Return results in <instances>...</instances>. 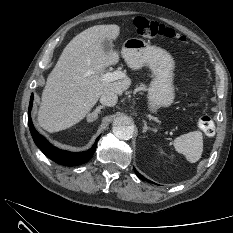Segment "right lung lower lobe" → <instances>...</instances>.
I'll return each mask as SVG.
<instances>
[{
  "label": "right lung lower lobe",
  "mask_w": 233,
  "mask_h": 233,
  "mask_svg": "<svg viewBox=\"0 0 233 233\" xmlns=\"http://www.w3.org/2000/svg\"><path fill=\"white\" fill-rule=\"evenodd\" d=\"M33 103V95L30 99L29 109H28V125L30 128L31 135L35 144L38 148L51 160L54 162L65 165V166H76L82 163L87 162L94 154L96 149V144L99 137L96 139L95 144L92 146L91 149L84 151V152H69L65 150L58 149L52 146L42 135H40L34 128L31 117L30 111L32 108Z\"/></svg>",
  "instance_id": "98d812e1"
}]
</instances>
